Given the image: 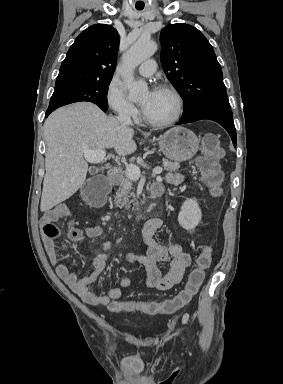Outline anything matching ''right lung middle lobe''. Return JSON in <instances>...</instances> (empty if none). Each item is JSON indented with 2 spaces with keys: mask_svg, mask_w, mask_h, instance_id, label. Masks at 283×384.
Instances as JSON below:
<instances>
[{
  "mask_svg": "<svg viewBox=\"0 0 283 384\" xmlns=\"http://www.w3.org/2000/svg\"><path fill=\"white\" fill-rule=\"evenodd\" d=\"M111 80L69 83L55 86L49 109H56L73 102L89 101L107 109V93Z\"/></svg>",
  "mask_w": 283,
  "mask_h": 384,
  "instance_id": "right-lung-middle-lobe-1",
  "label": "right lung middle lobe"
}]
</instances>
